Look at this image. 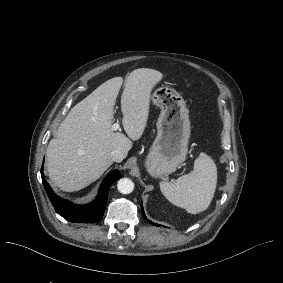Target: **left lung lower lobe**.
<instances>
[{
  "instance_id": "0a47b994",
  "label": "left lung lower lobe",
  "mask_w": 283,
  "mask_h": 283,
  "mask_svg": "<svg viewBox=\"0 0 283 283\" xmlns=\"http://www.w3.org/2000/svg\"><path fill=\"white\" fill-rule=\"evenodd\" d=\"M141 211H142L143 217L147 220V218H146V216H145V214H144V211H143V206H142V204H141ZM147 221H148L150 224L154 225V226H161V225L155 224V223H153V222H151V221H149V220H147Z\"/></svg>"
}]
</instances>
